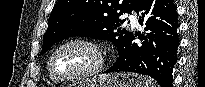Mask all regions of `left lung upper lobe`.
Listing matches in <instances>:
<instances>
[{"mask_svg":"<svg viewBox=\"0 0 205 87\" xmlns=\"http://www.w3.org/2000/svg\"><path fill=\"white\" fill-rule=\"evenodd\" d=\"M139 0H58L43 36L44 54L53 44L72 36L111 41L118 53L124 49L133 32L121 29L123 13L135 10Z\"/></svg>","mask_w":205,"mask_h":87,"instance_id":"1","label":"left lung upper lobe"}]
</instances>
